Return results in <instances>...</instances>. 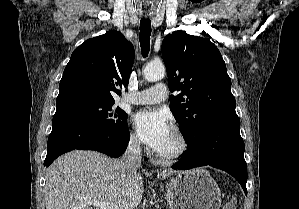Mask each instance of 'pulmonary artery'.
I'll return each mask as SVG.
<instances>
[{"label": "pulmonary artery", "instance_id": "pulmonary-artery-1", "mask_svg": "<svg viewBox=\"0 0 299 209\" xmlns=\"http://www.w3.org/2000/svg\"><path fill=\"white\" fill-rule=\"evenodd\" d=\"M168 97V89L165 84L157 83L154 86L135 93L127 94L125 101L131 104H155L164 101Z\"/></svg>", "mask_w": 299, "mask_h": 209}]
</instances>
